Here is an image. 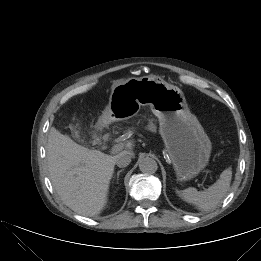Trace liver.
<instances>
[{
  "label": "liver",
  "instance_id": "1",
  "mask_svg": "<svg viewBox=\"0 0 261 261\" xmlns=\"http://www.w3.org/2000/svg\"><path fill=\"white\" fill-rule=\"evenodd\" d=\"M133 155L132 144H126ZM116 156L88 149L55 128L49 133L47 164L50 180L61 200L83 216L99 215L108 201Z\"/></svg>",
  "mask_w": 261,
  "mask_h": 261
}]
</instances>
